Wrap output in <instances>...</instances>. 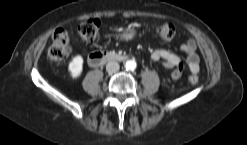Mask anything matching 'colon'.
I'll list each match as a JSON object with an SVG mask.
<instances>
[{
    "label": "colon",
    "mask_w": 247,
    "mask_h": 145,
    "mask_svg": "<svg viewBox=\"0 0 247 145\" xmlns=\"http://www.w3.org/2000/svg\"><path fill=\"white\" fill-rule=\"evenodd\" d=\"M100 30V21L97 18H90L78 26L79 35L87 40L93 41L97 39ZM155 33L163 39H171L175 35V26L170 22H164L154 27ZM71 52L70 38L66 30L57 29L52 37V44L48 50V57L53 62L63 61ZM183 71V65L181 63L176 65L175 70L172 73L173 78H180ZM199 77L196 74H192L188 77V82L191 85L197 84Z\"/></svg>",
    "instance_id": "1"
}]
</instances>
